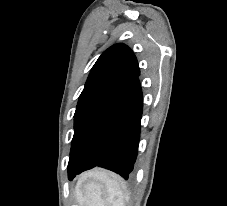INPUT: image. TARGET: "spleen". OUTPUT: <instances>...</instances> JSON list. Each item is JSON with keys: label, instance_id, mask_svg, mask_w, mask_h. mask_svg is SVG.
<instances>
[{"label": "spleen", "instance_id": "1", "mask_svg": "<svg viewBox=\"0 0 227 206\" xmlns=\"http://www.w3.org/2000/svg\"><path fill=\"white\" fill-rule=\"evenodd\" d=\"M100 183L82 178L76 186L77 200L82 206H124L127 190H123L117 179L105 172L94 173Z\"/></svg>", "mask_w": 227, "mask_h": 206}]
</instances>
